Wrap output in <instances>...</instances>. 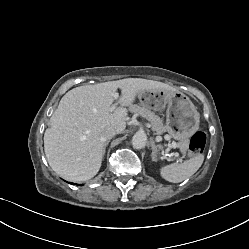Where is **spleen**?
Listing matches in <instances>:
<instances>
[{"label":"spleen","mask_w":249,"mask_h":249,"mask_svg":"<svg viewBox=\"0 0 249 249\" xmlns=\"http://www.w3.org/2000/svg\"><path fill=\"white\" fill-rule=\"evenodd\" d=\"M203 161L204 155L198 154L183 163H172L161 167L160 174L169 182L180 183L192 176L201 167Z\"/></svg>","instance_id":"obj_1"}]
</instances>
